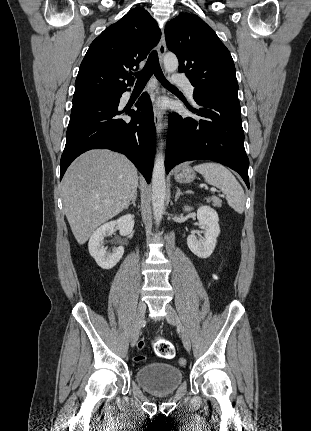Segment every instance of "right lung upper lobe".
<instances>
[{"mask_svg":"<svg viewBox=\"0 0 311 431\" xmlns=\"http://www.w3.org/2000/svg\"><path fill=\"white\" fill-rule=\"evenodd\" d=\"M160 37L157 23L145 9L130 10L91 43L79 68L74 96L125 92L134 83L129 71L139 68Z\"/></svg>","mask_w":311,"mask_h":431,"instance_id":"right-lung-upper-lobe-1","label":"right lung upper lobe"}]
</instances>
